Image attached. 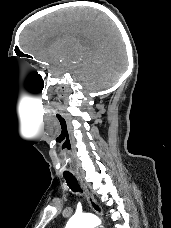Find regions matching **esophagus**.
<instances>
[{"instance_id":"1","label":"esophagus","mask_w":171,"mask_h":228,"mask_svg":"<svg viewBox=\"0 0 171 228\" xmlns=\"http://www.w3.org/2000/svg\"><path fill=\"white\" fill-rule=\"evenodd\" d=\"M77 179L80 182V184L86 194V198H87V201H88L90 207L98 216H101L103 213L102 207L98 204V202L95 200L94 196L90 193L86 184L83 182L82 178L80 176H77ZM100 228H102V227H100Z\"/></svg>"}]
</instances>
